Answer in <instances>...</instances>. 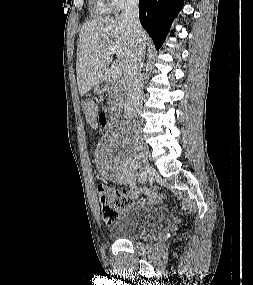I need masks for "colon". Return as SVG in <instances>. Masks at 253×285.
<instances>
[{"mask_svg": "<svg viewBox=\"0 0 253 285\" xmlns=\"http://www.w3.org/2000/svg\"><path fill=\"white\" fill-rule=\"evenodd\" d=\"M84 113L87 121L92 125V127L98 128V112L95 106L90 102L85 103ZM98 195L102 205V216L107 223L114 222L118 218L120 212L130 207L134 202V199L128 192L102 185L98 186Z\"/></svg>", "mask_w": 253, "mask_h": 285, "instance_id": "obj_1", "label": "colon"}]
</instances>
